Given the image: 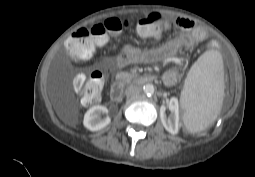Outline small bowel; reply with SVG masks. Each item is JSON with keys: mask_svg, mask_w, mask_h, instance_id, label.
<instances>
[{"mask_svg": "<svg viewBox=\"0 0 255 177\" xmlns=\"http://www.w3.org/2000/svg\"><path fill=\"white\" fill-rule=\"evenodd\" d=\"M175 24L182 32L158 47L151 49H140L132 45H126L116 59V65L120 68L137 63H158L174 56L180 49L190 47L205 38V32L196 27L187 18L178 17ZM180 77L178 67L173 66L163 75V83L166 86L175 85Z\"/></svg>", "mask_w": 255, "mask_h": 177, "instance_id": "small-bowel-1", "label": "small bowel"}]
</instances>
